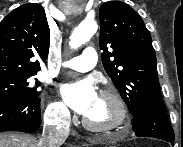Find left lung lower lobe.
I'll list each match as a JSON object with an SVG mask.
<instances>
[{"label":"left lung lower lobe","mask_w":183,"mask_h":147,"mask_svg":"<svg viewBox=\"0 0 183 147\" xmlns=\"http://www.w3.org/2000/svg\"><path fill=\"white\" fill-rule=\"evenodd\" d=\"M133 116L132 126L137 136L174 141V131L165 110L147 109Z\"/></svg>","instance_id":"left-lung-lower-lobe-1"}]
</instances>
